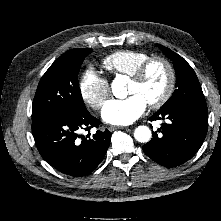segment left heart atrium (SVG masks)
Wrapping results in <instances>:
<instances>
[{
  "label": "left heart atrium",
  "instance_id": "1",
  "mask_svg": "<svg viewBox=\"0 0 221 221\" xmlns=\"http://www.w3.org/2000/svg\"><path fill=\"white\" fill-rule=\"evenodd\" d=\"M146 101L138 94L125 99H112L102 109V118L113 125H129L136 121L146 110Z\"/></svg>",
  "mask_w": 221,
  "mask_h": 221
}]
</instances>
